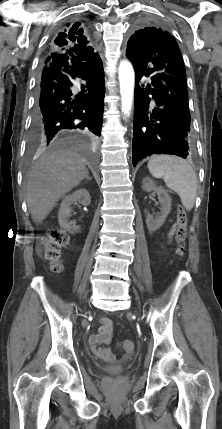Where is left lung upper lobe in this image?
Masks as SVG:
<instances>
[{"instance_id": "left-lung-upper-lobe-1", "label": "left lung upper lobe", "mask_w": 222, "mask_h": 429, "mask_svg": "<svg viewBox=\"0 0 222 429\" xmlns=\"http://www.w3.org/2000/svg\"><path fill=\"white\" fill-rule=\"evenodd\" d=\"M168 33L163 31L160 28L155 27H145L135 31V33L130 37L128 41V46L136 44H144V43H155L156 41H161L163 39V35Z\"/></svg>"}]
</instances>
